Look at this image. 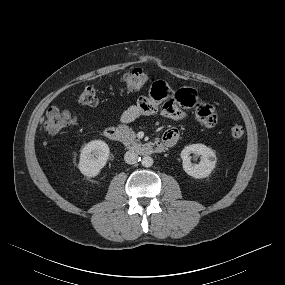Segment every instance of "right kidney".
<instances>
[{"instance_id": "right-kidney-1", "label": "right kidney", "mask_w": 285, "mask_h": 285, "mask_svg": "<svg viewBox=\"0 0 285 285\" xmlns=\"http://www.w3.org/2000/svg\"><path fill=\"white\" fill-rule=\"evenodd\" d=\"M109 147L102 140H93L81 150L78 168L87 177L97 176L106 165L109 157Z\"/></svg>"}]
</instances>
